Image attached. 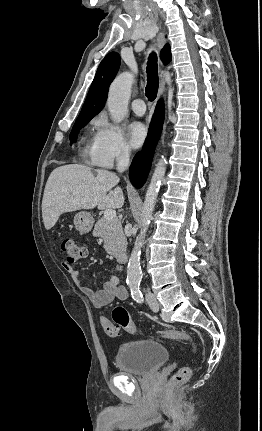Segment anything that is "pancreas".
Here are the masks:
<instances>
[{"label":"pancreas","mask_w":262,"mask_h":431,"mask_svg":"<svg viewBox=\"0 0 262 431\" xmlns=\"http://www.w3.org/2000/svg\"><path fill=\"white\" fill-rule=\"evenodd\" d=\"M93 236L104 240V248L109 254L118 255L126 249V237L118 218L113 220L100 218L95 224Z\"/></svg>","instance_id":"1"}]
</instances>
